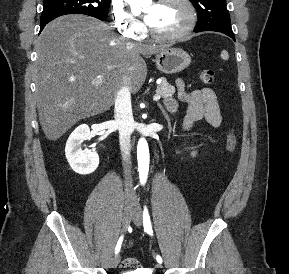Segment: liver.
<instances>
[{
  "label": "liver",
  "instance_id": "6515ba94",
  "mask_svg": "<svg viewBox=\"0 0 289 274\" xmlns=\"http://www.w3.org/2000/svg\"><path fill=\"white\" fill-rule=\"evenodd\" d=\"M165 48L128 42L85 15L61 16L46 25L35 62L37 109L46 138L58 140L78 121L110 109L122 86L139 91L147 76L141 54Z\"/></svg>",
  "mask_w": 289,
  "mask_h": 274
}]
</instances>
